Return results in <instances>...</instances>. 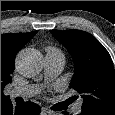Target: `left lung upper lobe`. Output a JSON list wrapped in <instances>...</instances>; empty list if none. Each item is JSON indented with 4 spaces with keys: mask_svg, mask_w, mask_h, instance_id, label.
Wrapping results in <instances>:
<instances>
[{
    "mask_svg": "<svg viewBox=\"0 0 115 115\" xmlns=\"http://www.w3.org/2000/svg\"><path fill=\"white\" fill-rule=\"evenodd\" d=\"M73 57L75 71L70 88L83 98L82 112L115 115V71L108 51L81 30H51Z\"/></svg>",
    "mask_w": 115,
    "mask_h": 115,
    "instance_id": "left-lung-upper-lobe-1",
    "label": "left lung upper lobe"
}]
</instances>
